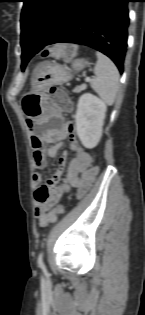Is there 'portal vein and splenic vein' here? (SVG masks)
Returning <instances> with one entry per match:
<instances>
[{
    "mask_svg": "<svg viewBox=\"0 0 145 315\" xmlns=\"http://www.w3.org/2000/svg\"><path fill=\"white\" fill-rule=\"evenodd\" d=\"M85 81H87V82L90 81V77H86Z\"/></svg>",
    "mask_w": 145,
    "mask_h": 315,
    "instance_id": "obj_1",
    "label": "portal vein and splenic vein"
}]
</instances>
